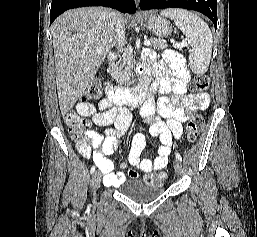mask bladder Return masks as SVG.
I'll use <instances>...</instances> for the list:
<instances>
[{
  "instance_id": "obj_1",
  "label": "bladder",
  "mask_w": 257,
  "mask_h": 237,
  "mask_svg": "<svg viewBox=\"0 0 257 237\" xmlns=\"http://www.w3.org/2000/svg\"><path fill=\"white\" fill-rule=\"evenodd\" d=\"M164 192V186L148 184L141 181H131L124 188V194L139 204L149 203L158 198Z\"/></svg>"
}]
</instances>
